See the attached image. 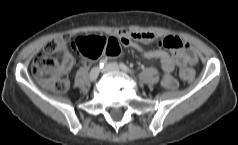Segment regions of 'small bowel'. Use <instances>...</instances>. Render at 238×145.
I'll use <instances>...</instances> for the list:
<instances>
[{
  "mask_svg": "<svg viewBox=\"0 0 238 145\" xmlns=\"http://www.w3.org/2000/svg\"><path fill=\"white\" fill-rule=\"evenodd\" d=\"M113 36L119 40L122 46L136 49L145 58L158 60L163 71L161 84L167 90H172L177 86V80L173 75L175 67H181V72L188 69L193 75V70L189 66L197 60L195 52L188 42H183L176 36L154 32H134L123 28L114 31ZM155 41H158L159 45L171 49L173 53L169 54L162 49L144 50L139 45V43H153ZM73 64V56L62 49V59L58 71L66 74L72 68Z\"/></svg>",
  "mask_w": 238,
  "mask_h": 145,
  "instance_id": "obj_1",
  "label": "small bowel"
}]
</instances>
